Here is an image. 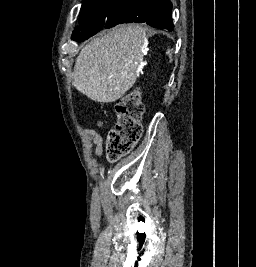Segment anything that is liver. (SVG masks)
<instances>
[{
    "label": "liver",
    "instance_id": "6515ba94",
    "mask_svg": "<svg viewBox=\"0 0 256 267\" xmlns=\"http://www.w3.org/2000/svg\"><path fill=\"white\" fill-rule=\"evenodd\" d=\"M146 30L122 24L94 38L76 58L73 86L94 102H115L136 82Z\"/></svg>",
    "mask_w": 256,
    "mask_h": 267
}]
</instances>
